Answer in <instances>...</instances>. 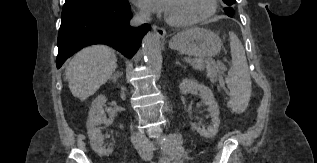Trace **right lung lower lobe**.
<instances>
[{
  "mask_svg": "<svg viewBox=\"0 0 317 163\" xmlns=\"http://www.w3.org/2000/svg\"><path fill=\"white\" fill-rule=\"evenodd\" d=\"M131 18L127 0L112 7L62 19L58 34L57 68L81 48L91 44H107L131 58L150 29L148 24L139 28L130 27Z\"/></svg>",
  "mask_w": 317,
  "mask_h": 163,
  "instance_id": "98d812e1",
  "label": "right lung lower lobe"
}]
</instances>
